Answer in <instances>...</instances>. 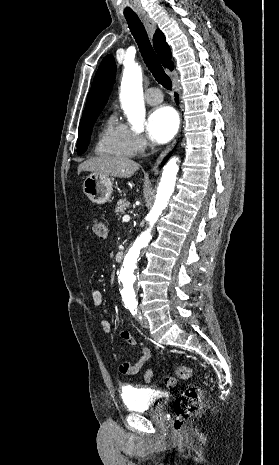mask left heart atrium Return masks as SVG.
I'll return each instance as SVG.
<instances>
[{
  "label": "left heart atrium",
  "mask_w": 279,
  "mask_h": 465,
  "mask_svg": "<svg viewBox=\"0 0 279 465\" xmlns=\"http://www.w3.org/2000/svg\"><path fill=\"white\" fill-rule=\"evenodd\" d=\"M178 129V118L175 111L168 106L154 109L147 122L149 138L156 143H166L173 138Z\"/></svg>",
  "instance_id": "1"
}]
</instances>
